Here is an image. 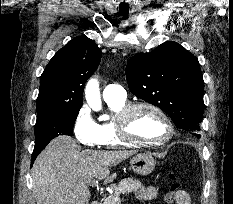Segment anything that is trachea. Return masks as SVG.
<instances>
[{
  "instance_id": "3493384b",
  "label": "trachea",
  "mask_w": 233,
  "mask_h": 204,
  "mask_svg": "<svg viewBox=\"0 0 233 204\" xmlns=\"http://www.w3.org/2000/svg\"><path fill=\"white\" fill-rule=\"evenodd\" d=\"M121 15L124 16V17H126L128 14L127 13H122Z\"/></svg>"
}]
</instances>
